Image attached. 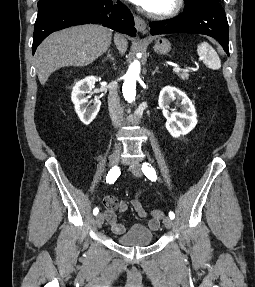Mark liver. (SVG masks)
<instances>
[{
  "label": "liver",
  "mask_w": 255,
  "mask_h": 287,
  "mask_svg": "<svg viewBox=\"0 0 255 287\" xmlns=\"http://www.w3.org/2000/svg\"><path fill=\"white\" fill-rule=\"evenodd\" d=\"M111 38V30L92 24L54 32L36 50V70L40 84L44 86L49 76L64 66L92 64L108 50ZM114 42L119 54H125L127 40L120 34H115Z\"/></svg>",
  "instance_id": "obj_1"
}]
</instances>
